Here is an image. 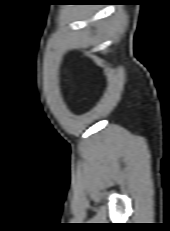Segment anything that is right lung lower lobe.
I'll list each match as a JSON object with an SVG mask.
<instances>
[{
  "label": "right lung lower lobe",
  "instance_id": "right-lung-lower-lobe-1",
  "mask_svg": "<svg viewBox=\"0 0 170 231\" xmlns=\"http://www.w3.org/2000/svg\"><path fill=\"white\" fill-rule=\"evenodd\" d=\"M86 2H95L94 0H87Z\"/></svg>",
  "mask_w": 170,
  "mask_h": 231
}]
</instances>
